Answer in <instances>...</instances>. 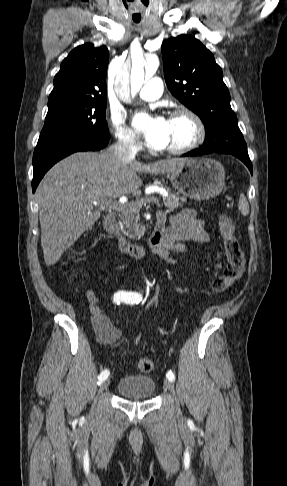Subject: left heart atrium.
I'll use <instances>...</instances> for the list:
<instances>
[{"label":"left heart atrium","mask_w":287,"mask_h":486,"mask_svg":"<svg viewBox=\"0 0 287 486\" xmlns=\"http://www.w3.org/2000/svg\"><path fill=\"white\" fill-rule=\"evenodd\" d=\"M133 126L149 147L154 149L164 148L168 129L167 119L141 112L133 118Z\"/></svg>","instance_id":"39dd6f15"}]
</instances>
